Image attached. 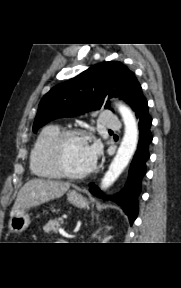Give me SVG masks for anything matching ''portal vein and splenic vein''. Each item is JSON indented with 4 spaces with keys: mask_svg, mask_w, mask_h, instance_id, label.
Segmentation results:
<instances>
[{
    "mask_svg": "<svg viewBox=\"0 0 181 288\" xmlns=\"http://www.w3.org/2000/svg\"><path fill=\"white\" fill-rule=\"evenodd\" d=\"M59 233L63 236V237H66V238H74L75 235H70L68 233H66V231H64L63 229H60L59 230Z\"/></svg>",
    "mask_w": 181,
    "mask_h": 288,
    "instance_id": "portal-vein-and-splenic-vein-1",
    "label": "portal vein and splenic vein"
}]
</instances>
